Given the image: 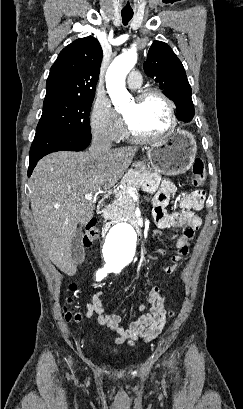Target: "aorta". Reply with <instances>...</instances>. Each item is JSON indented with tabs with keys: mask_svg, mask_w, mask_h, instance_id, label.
<instances>
[{
	"mask_svg": "<svg viewBox=\"0 0 243 409\" xmlns=\"http://www.w3.org/2000/svg\"><path fill=\"white\" fill-rule=\"evenodd\" d=\"M137 62V54L127 51L117 56L106 72V87L115 107L129 103L130 95L125 87V78ZM136 241V232L129 223H119L106 234L103 253L108 262L116 261L130 253Z\"/></svg>",
	"mask_w": 243,
	"mask_h": 409,
	"instance_id": "762f6f07",
	"label": "aorta"
}]
</instances>
